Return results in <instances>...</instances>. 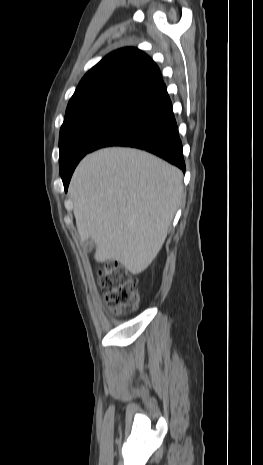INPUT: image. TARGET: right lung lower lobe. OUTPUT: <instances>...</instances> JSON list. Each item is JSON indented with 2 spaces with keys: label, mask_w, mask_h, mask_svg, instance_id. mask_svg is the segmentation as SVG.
Here are the masks:
<instances>
[{
  "label": "right lung lower lobe",
  "mask_w": 263,
  "mask_h": 465,
  "mask_svg": "<svg viewBox=\"0 0 263 465\" xmlns=\"http://www.w3.org/2000/svg\"><path fill=\"white\" fill-rule=\"evenodd\" d=\"M108 146L139 148L185 171L182 142L165 84L137 99L99 138L90 152ZM72 173L62 178L65 191Z\"/></svg>",
  "instance_id": "98d812e1"
}]
</instances>
